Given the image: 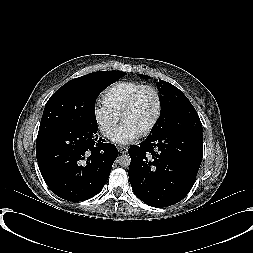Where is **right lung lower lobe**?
<instances>
[{
    "label": "right lung lower lobe",
    "instance_id": "right-lung-lower-lobe-1",
    "mask_svg": "<svg viewBox=\"0 0 253 253\" xmlns=\"http://www.w3.org/2000/svg\"><path fill=\"white\" fill-rule=\"evenodd\" d=\"M97 130L67 127L38 135L36 157L42 177L57 196L84 201L104 187L118 150L97 140Z\"/></svg>",
    "mask_w": 253,
    "mask_h": 253
}]
</instances>
